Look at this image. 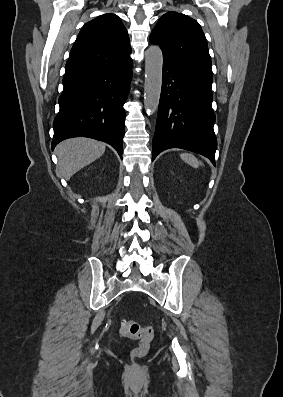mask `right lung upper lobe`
I'll return each instance as SVG.
<instances>
[{
    "label": "right lung upper lobe",
    "mask_w": 283,
    "mask_h": 397,
    "mask_svg": "<svg viewBox=\"0 0 283 397\" xmlns=\"http://www.w3.org/2000/svg\"><path fill=\"white\" fill-rule=\"evenodd\" d=\"M127 30L120 18L104 14L86 23L70 53L64 78L131 61Z\"/></svg>",
    "instance_id": "1"
}]
</instances>
